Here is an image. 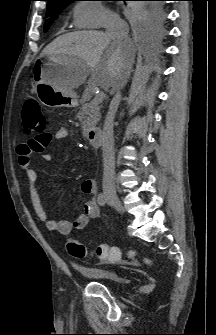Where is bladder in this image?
<instances>
[{
    "mask_svg": "<svg viewBox=\"0 0 216 335\" xmlns=\"http://www.w3.org/2000/svg\"><path fill=\"white\" fill-rule=\"evenodd\" d=\"M76 271L80 274L87 276L93 281H106L112 283H123V277L114 270L99 268V267H85L76 266Z\"/></svg>",
    "mask_w": 216,
    "mask_h": 335,
    "instance_id": "31cf9c89",
    "label": "bladder"
}]
</instances>
